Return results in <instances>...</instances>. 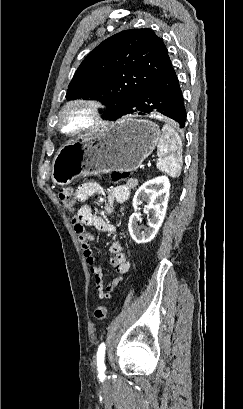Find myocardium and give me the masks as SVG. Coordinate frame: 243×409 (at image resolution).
<instances>
[{
	"mask_svg": "<svg viewBox=\"0 0 243 409\" xmlns=\"http://www.w3.org/2000/svg\"><path fill=\"white\" fill-rule=\"evenodd\" d=\"M74 108H80L84 110L89 116L90 124L87 127L79 129L77 131H67L63 127V118L71 109ZM105 125L106 121L102 114V106L98 101L94 99L85 97L71 99L62 106L61 110L58 113L57 128L62 134L67 137L73 138L94 133L104 128Z\"/></svg>",
	"mask_w": 243,
	"mask_h": 409,
	"instance_id": "1",
	"label": "myocardium"
}]
</instances>
